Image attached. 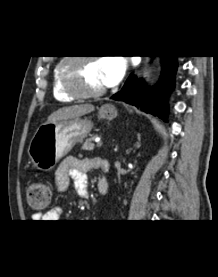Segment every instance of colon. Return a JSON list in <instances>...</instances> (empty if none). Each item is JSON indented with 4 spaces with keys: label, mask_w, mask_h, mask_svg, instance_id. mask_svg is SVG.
Returning a JSON list of instances; mask_svg holds the SVG:
<instances>
[{
    "label": "colon",
    "mask_w": 218,
    "mask_h": 277,
    "mask_svg": "<svg viewBox=\"0 0 218 277\" xmlns=\"http://www.w3.org/2000/svg\"><path fill=\"white\" fill-rule=\"evenodd\" d=\"M26 194L28 205L35 210H43L51 202V188L43 182H31L27 186Z\"/></svg>",
    "instance_id": "obj_1"
}]
</instances>
